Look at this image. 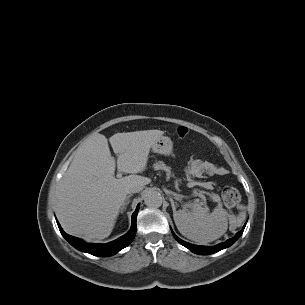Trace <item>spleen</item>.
Listing matches in <instances>:
<instances>
[{
    "mask_svg": "<svg viewBox=\"0 0 305 305\" xmlns=\"http://www.w3.org/2000/svg\"><path fill=\"white\" fill-rule=\"evenodd\" d=\"M191 209L174 211L173 218L177 229L186 238L200 244H206L220 238L228 228L227 213L218 205L212 213L198 203Z\"/></svg>",
    "mask_w": 305,
    "mask_h": 305,
    "instance_id": "spleen-1",
    "label": "spleen"
}]
</instances>
